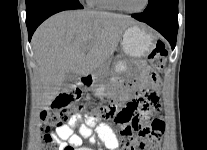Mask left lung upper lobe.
Returning a JSON list of instances; mask_svg holds the SVG:
<instances>
[{
	"label": "left lung upper lobe",
	"mask_w": 207,
	"mask_h": 150,
	"mask_svg": "<svg viewBox=\"0 0 207 150\" xmlns=\"http://www.w3.org/2000/svg\"><path fill=\"white\" fill-rule=\"evenodd\" d=\"M169 0H149L145 12L153 11Z\"/></svg>",
	"instance_id": "1"
}]
</instances>
